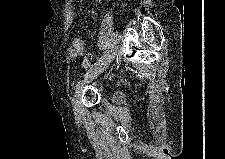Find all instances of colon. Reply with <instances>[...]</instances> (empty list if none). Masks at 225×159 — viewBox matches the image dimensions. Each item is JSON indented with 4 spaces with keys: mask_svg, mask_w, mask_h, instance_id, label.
Masks as SVG:
<instances>
[{
    "mask_svg": "<svg viewBox=\"0 0 225 159\" xmlns=\"http://www.w3.org/2000/svg\"><path fill=\"white\" fill-rule=\"evenodd\" d=\"M92 64H93L92 59L88 56H85L83 59V66L85 68H91Z\"/></svg>",
    "mask_w": 225,
    "mask_h": 159,
    "instance_id": "5ec220e1",
    "label": "colon"
}]
</instances>
